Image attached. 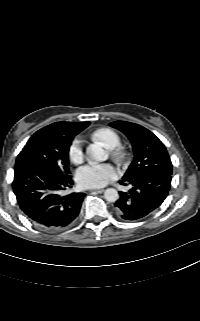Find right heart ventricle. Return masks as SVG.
Masks as SVG:
<instances>
[{
	"mask_svg": "<svg viewBox=\"0 0 200 321\" xmlns=\"http://www.w3.org/2000/svg\"><path fill=\"white\" fill-rule=\"evenodd\" d=\"M92 138L110 149L117 147L121 142L120 135L115 130L108 127L99 128L94 131Z\"/></svg>",
	"mask_w": 200,
	"mask_h": 321,
	"instance_id": "obj_1",
	"label": "right heart ventricle"
}]
</instances>
